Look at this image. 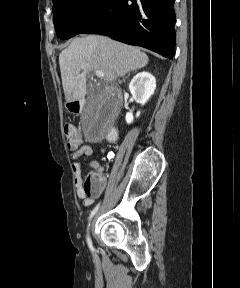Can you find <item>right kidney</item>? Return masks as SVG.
I'll use <instances>...</instances> for the list:
<instances>
[{"instance_id": "ca27d5eb", "label": "right kidney", "mask_w": 240, "mask_h": 288, "mask_svg": "<svg viewBox=\"0 0 240 288\" xmlns=\"http://www.w3.org/2000/svg\"><path fill=\"white\" fill-rule=\"evenodd\" d=\"M156 88V79L149 72H141L133 77L129 84V90L135 101L144 105L151 95H153ZM140 116V111L137 112L136 117ZM133 114L127 112L125 120L128 124L133 122Z\"/></svg>"}]
</instances>
